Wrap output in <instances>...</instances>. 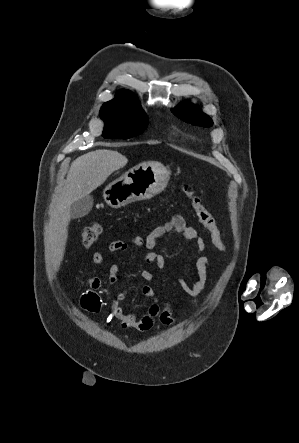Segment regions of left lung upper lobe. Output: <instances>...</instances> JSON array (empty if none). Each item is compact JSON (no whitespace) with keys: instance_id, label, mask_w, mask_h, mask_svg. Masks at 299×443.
I'll return each mask as SVG.
<instances>
[{"instance_id":"1","label":"left lung upper lobe","mask_w":299,"mask_h":443,"mask_svg":"<svg viewBox=\"0 0 299 443\" xmlns=\"http://www.w3.org/2000/svg\"><path fill=\"white\" fill-rule=\"evenodd\" d=\"M172 112L183 121L193 125L203 127H211L213 125V121L208 115L204 114L195 105L187 102H182L180 106L172 109Z\"/></svg>"}]
</instances>
